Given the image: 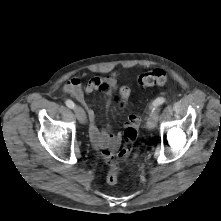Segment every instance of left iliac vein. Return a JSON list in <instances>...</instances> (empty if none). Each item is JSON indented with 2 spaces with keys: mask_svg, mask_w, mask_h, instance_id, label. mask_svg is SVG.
<instances>
[{
  "mask_svg": "<svg viewBox=\"0 0 221 221\" xmlns=\"http://www.w3.org/2000/svg\"><path fill=\"white\" fill-rule=\"evenodd\" d=\"M157 121H158V110L154 109L149 114V117L147 119L146 129L149 130V131L153 130L156 127V125H157Z\"/></svg>",
  "mask_w": 221,
  "mask_h": 221,
  "instance_id": "4c4485c4",
  "label": "left iliac vein"
}]
</instances>
